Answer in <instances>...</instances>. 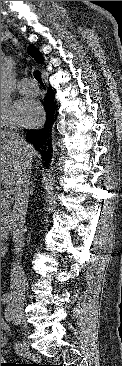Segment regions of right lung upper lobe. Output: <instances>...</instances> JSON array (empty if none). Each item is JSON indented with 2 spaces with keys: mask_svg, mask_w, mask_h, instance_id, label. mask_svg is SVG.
Instances as JSON below:
<instances>
[{
  "mask_svg": "<svg viewBox=\"0 0 122 366\" xmlns=\"http://www.w3.org/2000/svg\"><path fill=\"white\" fill-rule=\"evenodd\" d=\"M28 52L34 58V60L37 63L43 64L44 58H43L42 54L39 52V50L36 47L31 45L28 49Z\"/></svg>",
  "mask_w": 122,
  "mask_h": 366,
  "instance_id": "1",
  "label": "right lung upper lobe"
}]
</instances>
